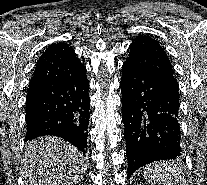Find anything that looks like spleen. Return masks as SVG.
<instances>
[{
	"mask_svg": "<svg viewBox=\"0 0 207 185\" xmlns=\"http://www.w3.org/2000/svg\"><path fill=\"white\" fill-rule=\"evenodd\" d=\"M183 167L180 163H168L167 159H155L150 166L141 167L138 177H147L152 185H178L181 179H185L182 174Z\"/></svg>",
	"mask_w": 207,
	"mask_h": 185,
	"instance_id": "3e777b00",
	"label": "spleen"
}]
</instances>
